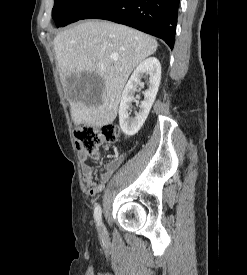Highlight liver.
Returning a JSON list of instances; mask_svg holds the SVG:
<instances>
[{
  "label": "liver",
  "instance_id": "obj_1",
  "mask_svg": "<svg viewBox=\"0 0 247 275\" xmlns=\"http://www.w3.org/2000/svg\"><path fill=\"white\" fill-rule=\"evenodd\" d=\"M53 43L72 119L76 125L89 127H101L114 121L131 72L154 54L158 46L149 35L103 20H88L62 31ZM81 72L98 75L103 92L83 99L68 89L67 77Z\"/></svg>",
  "mask_w": 247,
  "mask_h": 275
}]
</instances>
